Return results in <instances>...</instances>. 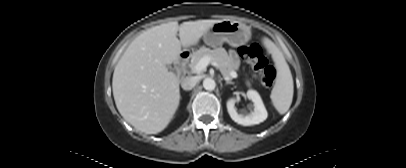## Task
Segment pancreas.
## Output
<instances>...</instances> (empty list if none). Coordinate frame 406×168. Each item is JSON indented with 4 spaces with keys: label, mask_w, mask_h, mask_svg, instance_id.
I'll list each match as a JSON object with an SVG mask.
<instances>
[{
    "label": "pancreas",
    "mask_w": 406,
    "mask_h": 168,
    "mask_svg": "<svg viewBox=\"0 0 406 168\" xmlns=\"http://www.w3.org/2000/svg\"><path fill=\"white\" fill-rule=\"evenodd\" d=\"M204 56L211 57V62L215 64V66L221 71L223 76L231 77L230 73L236 70L231 57L222 47L216 48L214 50L206 47H201L193 54L190 67L193 69L198 61Z\"/></svg>",
    "instance_id": "obj_1"
}]
</instances>
